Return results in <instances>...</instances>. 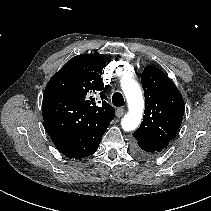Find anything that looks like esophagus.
Masks as SVG:
<instances>
[{"instance_id":"obj_1","label":"esophagus","mask_w":211,"mask_h":211,"mask_svg":"<svg viewBox=\"0 0 211 211\" xmlns=\"http://www.w3.org/2000/svg\"><path fill=\"white\" fill-rule=\"evenodd\" d=\"M125 113H126V110H125V109L118 108V109L116 110V116H117L118 118H121Z\"/></svg>"}]
</instances>
